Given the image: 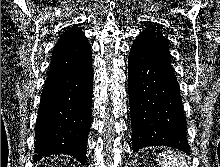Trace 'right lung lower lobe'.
Instances as JSON below:
<instances>
[{"instance_id": "1", "label": "right lung lower lobe", "mask_w": 220, "mask_h": 167, "mask_svg": "<svg viewBox=\"0 0 220 167\" xmlns=\"http://www.w3.org/2000/svg\"><path fill=\"white\" fill-rule=\"evenodd\" d=\"M91 62L49 74L36 121L34 162L62 153L85 164L93 91Z\"/></svg>"}]
</instances>
